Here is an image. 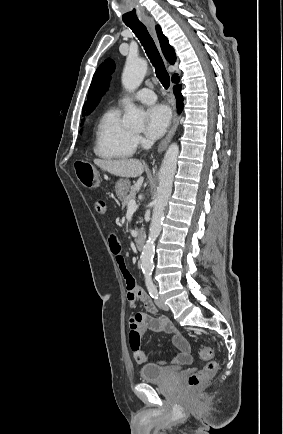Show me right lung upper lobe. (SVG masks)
Returning a JSON list of instances; mask_svg holds the SVG:
<instances>
[{
  "label": "right lung upper lobe",
  "instance_id": "1",
  "mask_svg": "<svg viewBox=\"0 0 283 434\" xmlns=\"http://www.w3.org/2000/svg\"><path fill=\"white\" fill-rule=\"evenodd\" d=\"M157 35L160 41L162 52L165 58L171 63L174 64L176 60L175 52L172 46L169 45L168 39L163 35L162 30L159 25L156 26ZM84 116V109H83ZM83 123V122H82Z\"/></svg>",
  "mask_w": 283,
  "mask_h": 434
}]
</instances>
